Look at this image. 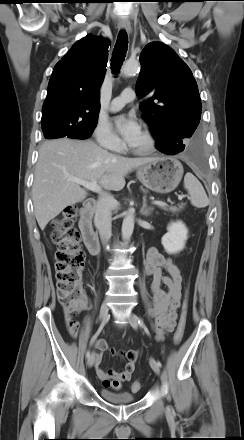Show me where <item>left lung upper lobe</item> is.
Instances as JSON below:
<instances>
[{
  "label": "left lung upper lobe",
  "instance_id": "5c2ea615",
  "mask_svg": "<svg viewBox=\"0 0 244 440\" xmlns=\"http://www.w3.org/2000/svg\"><path fill=\"white\" fill-rule=\"evenodd\" d=\"M140 63L135 91L138 98H148L140 109L156 148L180 150L187 139H194L200 122L202 106L195 78L174 50L161 42L147 44Z\"/></svg>",
  "mask_w": 244,
  "mask_h": 440
}]
</instances>
